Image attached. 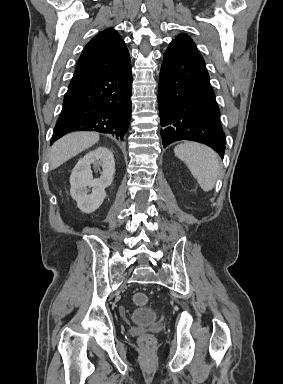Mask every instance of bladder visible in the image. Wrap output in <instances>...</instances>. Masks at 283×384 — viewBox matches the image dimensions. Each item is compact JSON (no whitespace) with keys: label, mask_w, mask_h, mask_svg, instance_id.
<instances>
[{"label":"bladder","mask_w":283,"mask_h":384,"mask_svg":"<svg viewBox=\"0 0 283 384\" xmlns=\"http://www.w3.org/2000/svg\"><path fill=\"white\" fill-rule=\"evenodd\" d=\"M130 320L135 324H149L155 322L156 314L153 311L136 309L130 316Z\"/></svg>","instance_id":"1"}]
</instances>
